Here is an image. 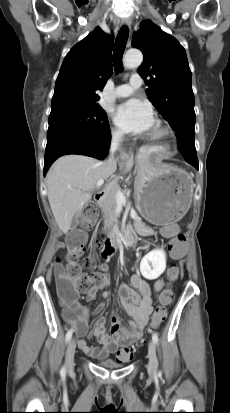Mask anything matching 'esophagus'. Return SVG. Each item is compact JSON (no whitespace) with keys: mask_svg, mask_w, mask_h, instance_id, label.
Returning a JSON list of instances; mask_svg holds the SVG:
<instances>
[{"mask_svg":"<svg viewBox=\"0 0 230 413\" xmlns=\"http://www.w3.org/2000/svg\"><path fill=\"white\" fill-rule=\"evenodd\" d=\"M131 23H132V21H131L130 18H124V19L122 20V24H124V25L127 26L128 28H130Z\"/></svg>","mask_w":230,"mask_h":413,"instance_id":"34e87169","label":"esophagus"}]
</instances>
